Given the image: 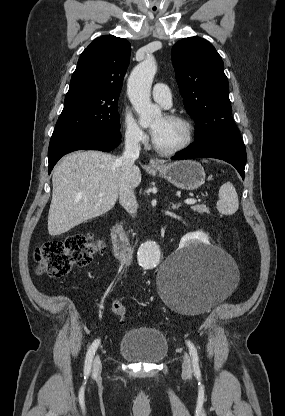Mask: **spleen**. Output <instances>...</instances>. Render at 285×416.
Returning <instances> with one entry per match:
<instances>
[{
    "label": "spleen",
    "mask_w": 285,
    "mask_h": 416,
    "mask_svg": "<svg viewBox=\"0 0 285 416\" xmlns=\"http://www.w3.org/2000/svg\"><path fill=\"white\" fill-rule=\"evenodd\" d=\"M207 162V160H203ZM219 202H217V210L224 216H231L235 214L239 208V200L235 188H233L231 182L223 184L219 190Z\"/></svg>",
    "instance_id": "obj_1"
}]
</instances>
